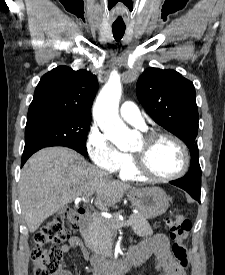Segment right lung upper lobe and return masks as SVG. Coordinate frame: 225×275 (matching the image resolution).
Instances as JSON below:
<instances>
[{
    "label": "right lung upper lobe",
    "mask_w": 225,
    "mask_h": 275,
    "mask_svg": "<svg viewBox=\"0 0 225 275\" xmlns=\"http://www.w3.org/2000/svg\"><path fill=\"white\" fill-rule=\"evenodd\" d=\"M97 89L96 76L90 72L58 66L42 76L27 117L46 114L89 116Z\"/></svg>",
    "instance_id": "obj_1"
}]
</instances>
